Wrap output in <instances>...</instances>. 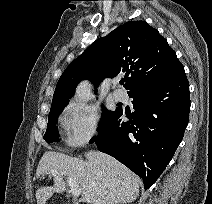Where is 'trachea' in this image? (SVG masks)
Wrapping results in <instances>:
<instances>
[{
	"label": "trachea",
	"mask_w": 212,
	"mask_h": 204,
	"mask_svg": "<svg viewBox=\"0 0 212 204\" xmlns=\"http://www.w3.org/2000/svg\"><path fill=\"white\" fill-rule=\"evenodd\" d=\"M120 84L123 85V84H124V80H121V81H120Z\"/></svg>",
	"instance_id": "obj_1"
}]
</instances>
